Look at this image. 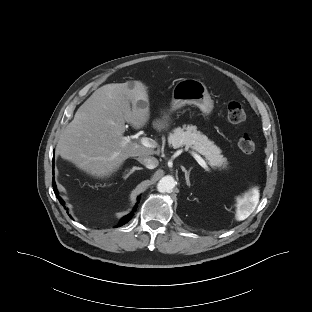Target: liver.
Here are the masks:
<instances>
[{
  "mask_svg": "<svg viewBox=\"0 0 312 312\" xmlns=\"http://www.w3.org/2000/svg\"><path fill=\"white\" fill-rule=\"evenodd\" d=\"M138 102L142 107H137ZM149 118L148 91L142 82L104 85L79 107L74 119L66 126L58 153L93 177H109L129 157L155 154L153 149L127 141L123 135L126 122L140 129ZM167 126V115L153 122L157 130Z\"/></svg>",
  "mask_w": 312,
  "mask_h": 312,
  "instance_id": "obj_1",
  "label": "liver"
}]
</instances>
